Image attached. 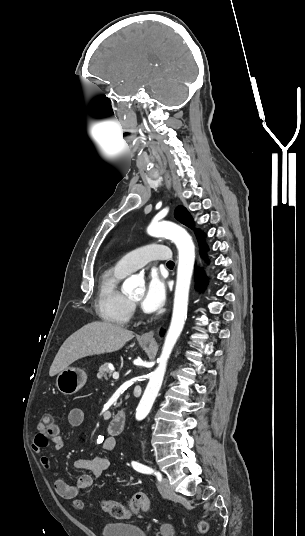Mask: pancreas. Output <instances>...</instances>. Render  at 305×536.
<instances>
[{
	"mask_svg": "<svg viewBox=\"0 0 305 536\" xmlns=\"http://www.w3.org/2000/svg\"><path fill=\"white\" fill-rule=\"evenodd\" d=\"M112 372L108 366V364H103V366H100L97 374V378L99 380H108V378H111Z\"/></svg>",
	"mask_w": 305,
	"mask_h": 536,
	"instance_id": "1",
	"label": "pancreas"
}]
</instances>
